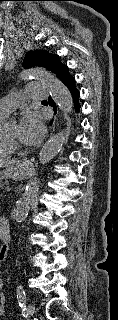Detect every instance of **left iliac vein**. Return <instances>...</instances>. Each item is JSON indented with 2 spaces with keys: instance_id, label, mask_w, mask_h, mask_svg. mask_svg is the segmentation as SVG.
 <instances>
[{
  "instance_id": "1",
  "label": "left iliac vein",
  "mask_w": 118,
  "mask_h": 320,
  "mask_svg": "<svg viewBox=\"0 0 118 320\" xmlns=\"http://www.w3.org/2000/svg\"><path fill=\"white\" fill-rule=\"evenodd\" d=\"M36 308L34 306V304L29 303L28 307H27V313H28V317H31L35 314Z\"/></svg>"
}]
</instances>
